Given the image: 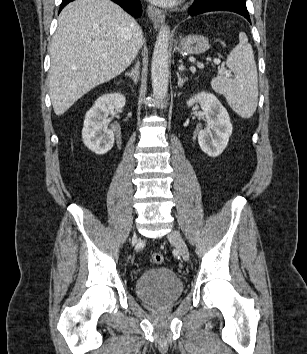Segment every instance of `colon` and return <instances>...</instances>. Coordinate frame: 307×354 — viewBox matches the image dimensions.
Masks as SVG:
<instances>
[{
    "instance_id": "obj_1",
    "label": "colon",
    "mask_w": 307,
    "mask_h": 354,
    "mask_svg": "<svg viewBox=\"0 0 307 354\" xmlns=\"http://www.w3.org/2000/svg\"><path fill=\"white\" fill-rule=\"evenodd\" d=\"M151 259L152 262L157 265L161 264L164 261V257L161 253L152 254Z\"/></svg>"
}]
</instances>
